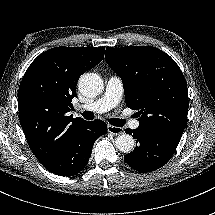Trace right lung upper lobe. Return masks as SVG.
Returning a JSON list of instances; mask_svg holds the SVG:
<instances>
[{
    "mask_svg": "<svg viewBox=\"0 0 215 215\" xmlns=\"http://www.w3.org/2000/svg\"><path fill=\"white\" fill-rule=\"evenodd\" d=\"M105 47H56L28 67L18 91L19 119L28 144L43 166L64 145L72 129L84 122L67 116L81 74L99 64Z\"/></svg>",
    "mask_w": 215,
    "mask_h": 215,
    "instance_id": "1",
    "label": "right lung upper lobe"
}]
</instances>
